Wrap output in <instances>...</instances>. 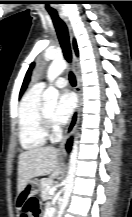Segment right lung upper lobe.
<instances>
[{
    "label": "right lung upper lobe",
    "instance_id": "right-lung-upper-lobe-1",
    "mask_svg": "<svg viewBox=\"0 0 132 217\" xmlns=\"http://www.w3.org/2000/svg\"><path fill=\"white\" fill-rule=\"evenodd\" d=\"M74 48H75L76 54L78 55V50H77V45H76V42H75V40H74ZM33 66H34V63H33L31 66H30V68H29V71H28V72H30V70L33 68ZM27 76H28V74L26 75V78H25V80H24V83H23V86H22L21 93H23V91H24V90H25V88H26Z\"/></svg>",
    "mask_w": 132,
    "mask_h": 217
}]
</instances>
